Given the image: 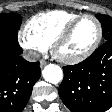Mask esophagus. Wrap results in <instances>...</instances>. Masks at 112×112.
<instances>
[{"mask_svg":"<svg viewBox=\"0 0 112 112\" xmlns=\"http://www.w3.org/2000/svg\"><path fill=\"white\" fill-rule=\"evenodd\" d=\"M46 65V62L44 60L40 61V67L43 68Z\"/></svg>","mask_w":112,"mask_h":112,"instance_id":"34e87169","label":"esophagus"}]
</instances>
